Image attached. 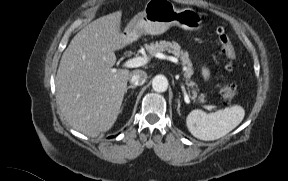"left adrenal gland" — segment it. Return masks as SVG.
Here are the masks:
<instances>
[{
  "mask_svg": "<svg viewBox=\"0 0 288 181\" xmlns=\"http://www.w3.org/2000/svg\"><path fill=\"white\" fill-rule=\"evenodd\" d=\"M177 112L180 115V101L178 100Z\"/></svg>",
  "mask_w": 288,
  "mask_h": 181,
  "instance_id": "obj_1",
  "label": "left adrenal gland"
}]
</instances>
